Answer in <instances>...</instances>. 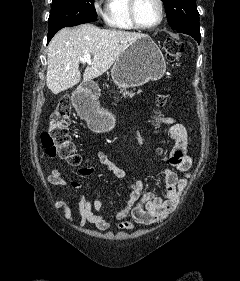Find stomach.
<instances>
[{
	"label": "stomach",
	"instance_id": "obj_1",
	"mask_svg": "<svg viewBox=\"0 0 240 281\" xmlns=\"http://www.w3.org/2000/svg\"><path fill=\"white\" fill-rule=\"evenodd\" d=\"M165 71L166 62L159 47L145 35L120 54L111 69V76L118 87L128 88L156 81ZM81 115L96 132H108L115 125L114 115L93 101L83 107Z\"/></svg>",
	"mask_w": 240,
	"mask_h": 281
}]
</instances>
